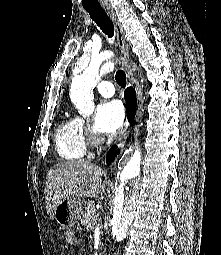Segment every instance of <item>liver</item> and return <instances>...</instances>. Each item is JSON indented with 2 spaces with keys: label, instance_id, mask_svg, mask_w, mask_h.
<instances>
[{
  "label": "liver",
  "instance_id": "obj_1",
  "mask_svg": "<svg viewBox=\"0 0 221 255\" xmlns=\"http://www.w3.org/2000/svg\"><path fill=\"white\" fill-rule=\"evenodd\" d=\"M102 169L85 161H67L48 170L45 183L46 209L54 219L55 208L67 198L103 199L106 184L101 179Z\"/></svg>",
  "mask_w": 221,
  "mask_h": 255
}]
</instances>
